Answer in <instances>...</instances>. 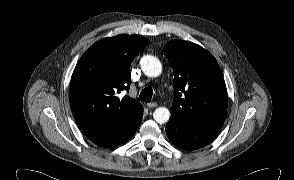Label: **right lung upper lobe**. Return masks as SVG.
I'll return each mask as SVG.
<instances>
[{"instance_id": "obj_1", "label": "right lung upper lobe", "mask_w": 294, "mask_h": 180, "mask_svg": "<svg viewBox=\"0 0 294 180\" xmlns=\"http://www.w3.org/2000/svg\"><path fill=\"white\" fill-rule=\"evenodd\" d=\"M148 43L138 35L108 37L80 58L71 78L70 103L78 126L85 132L112 129L141 105L118 94L129 90L131 62Z\"/></svg>"}]
</instances>
